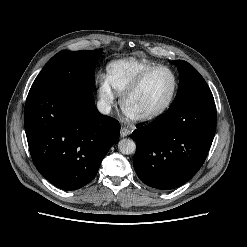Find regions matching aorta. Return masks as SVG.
<instances>
[{"label":"aorta","instance_id":"aorta-1","mask_svg":"<svg viewBox=\"0 0 247 247\" xmlns=\"http://www.w3.org/2000/svg\"><path fill=\"white\" fill-rule=\"evenodd\" d=\"M118 148L122 154L129 155L135 152L136 143L132 139L124 138L119 141Z\"/></svg>","mask_w":247,"mask_h":247}]
</instances>
